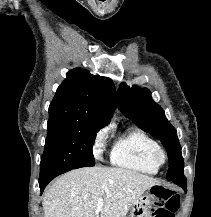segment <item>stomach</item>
I'll return each mask as SVG.
<instances>
[{
    "mask_svg": "<svg viewBox=\"0 0 211 217\" xmlns=\"http://www.w3.org/2000/svg\"><path fill=\"white\" fill-rule=\"evenodd\" d=\"M155 190L154 186L149 188V191L140 196L135 204H133L129 217H150V209L152 208V193L150 190Z\"/></svg>",
    "mask_w": 211,
    "mask_h": 217,
    "instance_id": "0dacf381",
    "label": "stomach"
}]
</instances>
